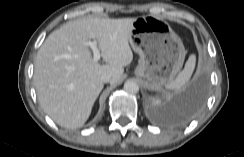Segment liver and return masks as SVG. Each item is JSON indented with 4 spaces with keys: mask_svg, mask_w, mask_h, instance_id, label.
Instances as JSON below:
<instances>
[{
    "mask_svg": "<svg viewBox=\"0 0 244 157\" xmlns=\"http://www.w3.org/2000/svg\"><path fill=\"white\" fill-rule=\"evenodd\" d=\"M136 18H82L53 31L37 52L34 86L44 112L58 125L76 129L84 125L104 87L121 80L124 67L133 61L129 33ZM98 43L106 62H94L89 45Z\"/></svg>",
    "mask_w": 244,
    "mask_h": 157,
    "instance_id": "obj_1",
    "label": "liver"
}]
</instances>
